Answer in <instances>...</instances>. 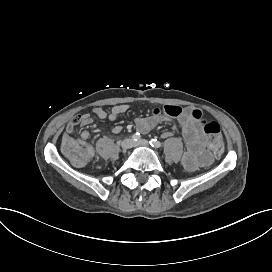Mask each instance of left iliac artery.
<instances>
[{
	"instance_id": "obj_1",
	"label": "left iliac artery",
	"mask_w": 272,
	"mask_h": 272,
	"mask_svg": "<svg viewBox=\"0 0 272 272\" xmlns=\"http://www.w3.org/2000/svg\"><path fill=\"white\" fill-rule=\"evenodd\" d=\"M149 143H150V145H151L152 147H155V148H159V147L162 146L161 142L158 141L157 139H151V140L149 141Z\"/></svg>"
}]
</instances>
